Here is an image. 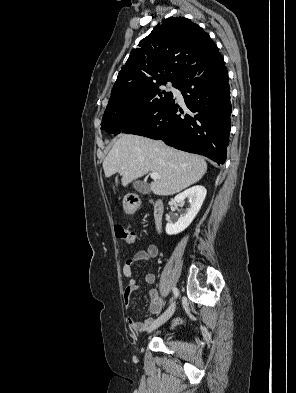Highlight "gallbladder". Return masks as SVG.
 <instances>
[{
    "label": "gallbladder",
    "mask_w": 296,
    "mask_h": 393,
    "mask_svg": "<svg viewBox=\"0 0 296 393\" xmlns=\"http://www.w3.org/2000/svg\"><path fill=\"white\" fill-rule=\"evenodd\" d=\"M133 187L136 191L142 194H149L151 192L150 186L143 181H135Z\"/></svg>",
    "instance_id": "obj_1"
}]
</instances>
